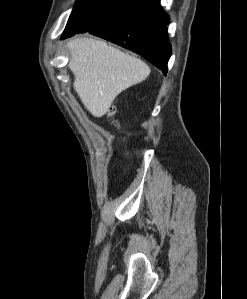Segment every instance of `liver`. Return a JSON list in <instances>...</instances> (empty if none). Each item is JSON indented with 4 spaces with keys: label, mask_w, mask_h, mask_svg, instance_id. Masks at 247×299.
Wrapping results in <instances>:
<instances>
[{
    "label": "liver",
    "mask_w": 247,
    "mask_h": 299,
    "mask_svg": "<svg viewBox=\"0 0 247 299\" xmlns=\"http://www.w3.org/2000/svg\"><path fill=\"white\" fill-rule=\"evenodd\" d=\"M73 72L74 90L85 108L94 116H103L114 99L125 89L144 81L150 74L142 60L126 54L105 41L88 37L67 43Z\"/></svg>",
    "instance_id": "1"
}]
</instances>
